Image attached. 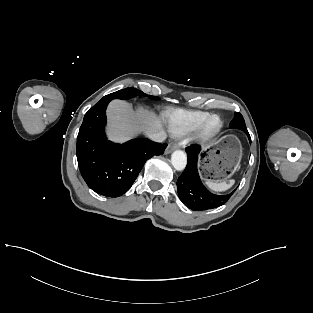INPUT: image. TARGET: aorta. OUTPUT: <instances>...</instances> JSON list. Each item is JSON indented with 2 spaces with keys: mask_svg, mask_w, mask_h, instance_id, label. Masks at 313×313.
<instances>
[{
  "mask_svg": "<svg viewBox=\"0 0 313 313\" xmlns=\"http://www.w3.org/2000/svg\"><path fill=\"white\" fill-rule=\"evenodd\" d=\"M171 163L177 171H182L187 165V156L181 150H176L171 155Z\"/></svg>",
  "mask_w": 313,
  "mask_h": 313,
  "instance_id": "aorta-1",
  "label": "aorta"
}]
</instances>
